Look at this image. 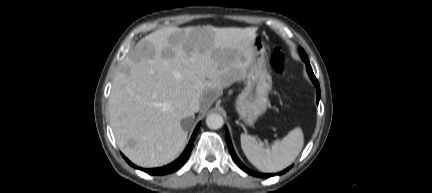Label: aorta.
I'll return each mask as SVG.
<instances>
[{"label": "aorta", "mask_w": 432, "mask_h": 193, "mask_svg": "<svg viewBox=\"0 0 432 193\" xmlns=\"http://www.w3.org/2000/svg\"><path fill=\"white\" fill-rule=\"evenodd\" d=\"M223 123V117L218 113H211L206 117V125L210 129H220L223 126Z\"/></svg>", "instance_id": "1"}]
</instances>
